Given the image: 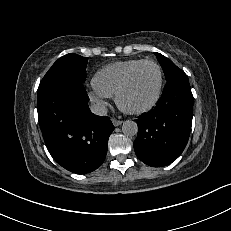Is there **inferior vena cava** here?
Here are the masks:
<instances>
[{"mask_svg": "<svg viewBox=\"0 0 231 231\" xmlns=\"http://www.w3.org/2000/svg\"><path fill=\"white\" fill-rule=\"evenodd\" d=\"M90 110L95 115L104 116L107 114V108L103 103H96L91 105Z\"/></svg>", "mask_w": 231, "mask_h": 231, "instance_id": "1", "label": "inferior vena cava"}]
</instances>
